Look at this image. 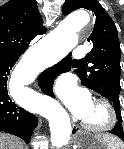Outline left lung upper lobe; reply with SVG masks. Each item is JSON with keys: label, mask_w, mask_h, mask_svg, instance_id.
Wrapping results in <instances>:
<instances>
[{"label": "left lung upper lobe", "mask_w": 124, "mask_h": 149, "mask_svg": "<svg viewBox=\"0 0 124 149\" xmlns=\"http://www.w3.org/2000/svg\"><path fill=\"white\" fill-rule=\"evenodd\" d=\"M91 10L95 25L88 37L93 48L84 58L92 65L77 71L81 83L107 98L113 105L118 122H122L120 112V45L117 28L97 0H65L62 7L64 15L79 9Z\"/></svg>", "instance_id": "left-lung-upper-lobe-1"}]
</instances>
